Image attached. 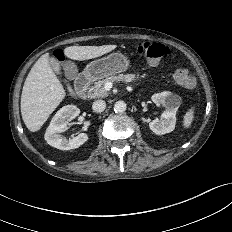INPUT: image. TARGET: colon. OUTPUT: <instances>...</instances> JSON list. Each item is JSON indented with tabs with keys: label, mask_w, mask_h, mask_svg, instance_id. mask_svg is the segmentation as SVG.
I'll return each mask as SVG.
<instances>
[{
	"label": "colon",
	"mask_w": 232,
	"mask_h": 232,
	"mask_svg": "<svg viewBox=\"0 0 232 232\" xmlns=\"http://www.w3.org/2000/svg\"><path fill=\"white\" fill-rule=\"evenodd\" d=\"M137 53L150 62H157L169 54V48L161 43L145 41L140 43ZM54 56L62 61L64 59L61 51L54 53ZM175 84L183 88H192L195 85V78L191 71L185 67L177 68L173 73Z\"/></svg>",
	"instance_id": "colon-1"
}]
</instances>
